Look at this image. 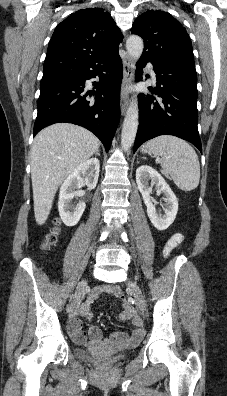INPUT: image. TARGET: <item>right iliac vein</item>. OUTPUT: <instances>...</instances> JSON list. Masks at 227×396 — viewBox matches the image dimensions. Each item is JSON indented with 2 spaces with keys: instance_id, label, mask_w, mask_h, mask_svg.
Segmentation results:
<instances>
[{
  "instance_id": "63e3f726",
  "label": "right iliac vein",
  "mask_w": 227,
  "mask_h": 396,
  "mask_svg": "<svg viewBox=\"0 0 227 396\" xmlns=\"http://www.w3.org/2000/svg\"><path fill=\"white\" fill-rule=\"evenodd\" d=\"M86 286H87L86 281H81L76 288V292L70 309V315H69L70 319L75 317L79 311L81 301L86 292Z\"/></svg>"
}]
</instances>
